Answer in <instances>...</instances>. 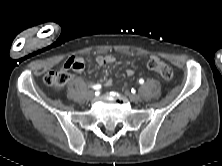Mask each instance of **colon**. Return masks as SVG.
Returning a JSON list of instances; mask_svg holds the SVG:
<instances>
[{
  "label": "colon",
  "mask_w": 222,
  "mask_h": 166,
  "mask_svg": "<svg viewBox=\"0 0 222 166\" xmlns=\"http://www.w3.org/2000/svg\"><path fill=\"white\" fill-rule=\"evenodd\" d=\"M148 68L157 73L160 77L165 80H170L173 77V68L170 64L165 63L158 58H151L147 64ZM70 75L66 70L59 71H50L44 76V83L55 87L60 88L67 84L69 81Z\"/></svg>",
  "instance_id": "obj_1"
}]
</instances>
